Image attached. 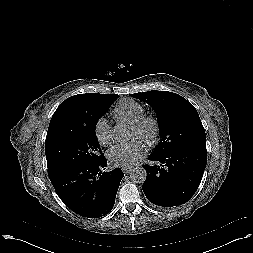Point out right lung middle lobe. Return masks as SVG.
<instances>
[{
	"label": "right lung middle lobe",
	"instance_id": "obj_1",
	"mask_svg": "<svg viewBox=\"0 0 253 253\" xmlns=\"http://www.w3.org/2000/svg\"><path fill=\"white\" fill-rule=\"evenodd\" d=\"M111 104L97 108L85 119L62 121L48 129L45 141L48 174L103 159L95 128Z\"/></svg>",
	"mask_w": 253,
	"mask_h": 253
}]
</instances>
